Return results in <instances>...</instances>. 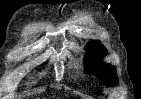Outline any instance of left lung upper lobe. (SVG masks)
Here are the masks:
<instances>
[{
    "mask_svg": "<svg viewBox=\"0 0 141 99\" xmlns=\"http://www.w3.org/2000/svg\"><path fill=\"white\" fill-rule=\"evenodd\" d=\"M86 49L88 53L85 57V72L96 74L106 85L117 84L116 69L101 60L107 53L105 47L100 42L91 41Z\"/></svg>",
    "mask_w": 141,
    "mask_h": 99,
    "instance_id": "5c2ea615",
    "label": "left lung upper lobe"
}]
</instances>
